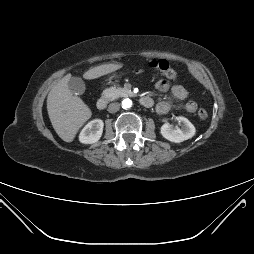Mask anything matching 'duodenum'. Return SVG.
Returning a JSON list of instances; mask_svg holds the SVG:
<instances>
[{
  "label": "duodenum",
  "mask_w": 254,
  "mask_h": 254,
  "mask_svg": "<svg viewBox=\"0 0 254 254\" xmlns=\"http://www.w3.org/2000/svg\"><path fill=\"white\" fill-rule=\"evenodd\" d=\"M140 103L144 107H151L153 105V100L148 96H143L140 98ZM108 100L105 97H101L97 100L96 106L99 110H104L107 107Z\"/></svg>",
  "instance_id": "1"
}]
</instances>
